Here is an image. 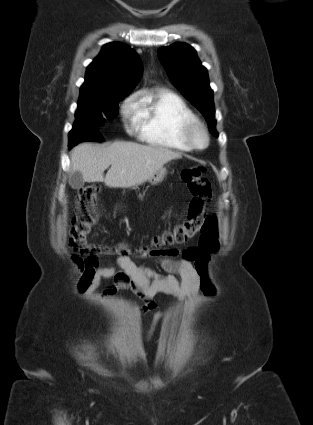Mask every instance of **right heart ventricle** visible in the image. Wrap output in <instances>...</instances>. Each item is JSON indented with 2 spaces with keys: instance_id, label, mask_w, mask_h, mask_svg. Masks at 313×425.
Instances as JSON below:
<instances>
[{
  "instance_id": "1",
  "label": "right heart ventricle",
  "mask_w": 313,
  "mask_h": 425,
  "mask_svg": "<svg viewBox=\"0 0 313 425\" xmlns=\"http://www.w3.org/2000/svg\"><path fill=\"white\" fill-rule=\"evenodd\" d=\"M135 126L142 141L165 149L191 151L182 137L184 125L196 115L176 94L166 90L142 93L136 100Z\"/></svg>"
}]
</instances>
